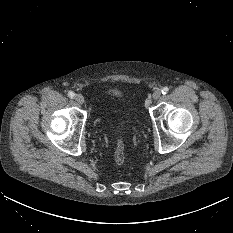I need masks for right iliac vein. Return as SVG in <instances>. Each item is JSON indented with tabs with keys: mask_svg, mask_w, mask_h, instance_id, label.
I'll use <instances>...</instances> for the list:
<instances>
[{
	"mask_svg": "<svg viewBox=\"0 0 233 233\" xmlns=\"http://www.w3.org/2000/svg\"><path fill=\"white\" fill-rule=\"evenodd\" d=\"M75 100L78 104L82 105L84 103V97L81 94H76Z\"/></svg>",
	"mask_w": 233,
	"mask_h": 233,
	"instance_id": "63e3f726",
	"label": "right iliac vein"
}]
</instances>
